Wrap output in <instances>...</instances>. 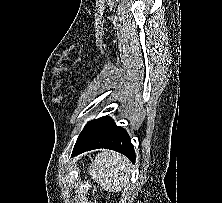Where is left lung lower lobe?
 Wrapping results in <instances>:
<instances>
[{
	"label": "left lung lower lobe",
	"instance_id": "obj_1",
	"mask_svg": "<svg viewBox=\"0 0 222 203\" xmlns=\"http://www.w3.org/2000/svg\"><path fill=\"white\" fill-rule=\"evenodd\" d=\"M97 148L117 151L135 162V151L129 135L108 116L88 123L75 143L72 156Z\"/></svg>",
	"mask_w": 222,
	"mask_h": 203
}]
</instances>
